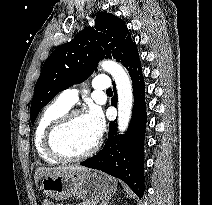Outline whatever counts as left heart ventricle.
<instances>
[{"label":"left heart ventricle","mask_w":212,"mask_h":205,"mask_svg":"<svg viewBox=\"0 0 212 205\" xmlns=\"http://www.w3.org/2000/svg\"><path fill=\"white\" fill-rule=\"evenodd\" d=\"M96 140L84 116H77L61 132L58 144L65 154L78 155L89 149Z\"/></svg>","instance_id":"1"}]
</instances>
